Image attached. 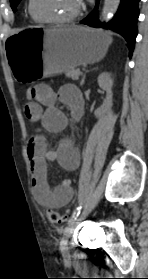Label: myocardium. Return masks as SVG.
I'll list each match as a JSON object with an SVG mask.
<instances>
[{
    "label": "myocardium",
    "mask_w": 148,
    "mask_h": 279,
    "mask_svg": "<svg viewBox=\"0 0 148 279\" xmlns=\"http://www.w3.org/2000/svg\"><path fill=\"white\" fill-rule=\"evenodd\" d=\"M86 9V5L84 0H81V4L79 9L73 13L70 16L63 17V18H45V17H40L36 14L34 10V0H29V12L31 16L38 22L41 23H46V24H67V23H72L77 21L81 16L83 15L84 11Z\"/></svg>",
    "instance_id": "f54148a6"
}]
</instances>
